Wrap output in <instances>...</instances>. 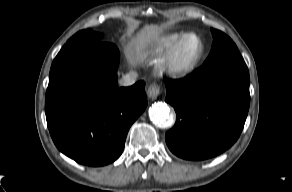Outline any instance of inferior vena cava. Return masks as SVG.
I'll return each mask as SVG.
<instances>
[{
  "label": "inferior vena cava",
  "instance_id": "obj_1",
  "mask_svg": "<svg viewBox=\"0 0 292 192\" xmlns=\"http://www.w3.org/2000/svg\"><path fill=\"white\" fill-rule=\"evenodd\" d=\"M137 77H138L137 72L135 71L129 72L119 80V84L121 86H131L136 82Z\"/></svg>",
  "mask_w": 292,
  "mask_h": 192
}]
</instances>
